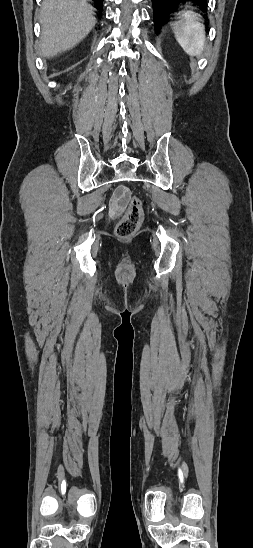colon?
Masks as SVG:
<instances>
[{
	"instance_id": "obj_1",
	"label": "colon",
	"mask_w": 253,
	"mask_h": 548,
	"mask_svg": "<svg viewBox=\"0 0 253 548\" xmlns=\"http://www.w3.org/2000/svg\"><path fill=\"white\" fill-rule=\"evenodd\" d=\"M143 219L142 201L138 197H132L127 211L118 221L115 233L121 239L130 238L140 227Z\"/></svg>"
}]
</instances>
